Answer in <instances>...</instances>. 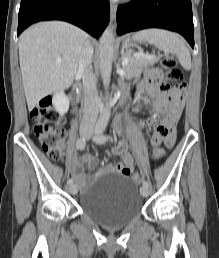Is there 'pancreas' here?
I'll return each instance as SVG.
<instances>
[{
	"label": "pancreas",
	"mask_w": 219,
	"mask_h": 258,
	"mask_svg": "<svg viewBox=\"0 0 219 258\" xmlns=\"http://www.w3.org/2000/svg\"><path fill=\"white\" fill-rule=\"evenodd\" d=\"M126 57L128 58V63L125 66L127 78L140 77L143 68L153 65L159 60L157 57L152 59H141L131 55H126Z\"/></svg>",
	"instance_id": "pancreas-1"
}]
</instances>
